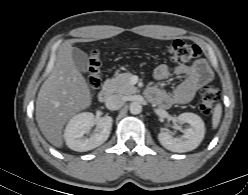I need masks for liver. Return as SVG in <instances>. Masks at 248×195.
Here are the masks:
<instances>
[{
	"label": "liver",
	"instance_id": "1",
	"mask_svg": "<svg viewBox=\"0 0 248 195\" xmlns=\"http://www.w3.org/2000/svg\"><path fill=\"white\" fill-rule=\"evenodd\" d=\"M72 41H65L55 65L42 84L36 100V121L44 137L63 146V127L76 113L91 104V92L72 57Z\"/></svg>",
	"mask_w": 248,
	"mask_h": 195
}]
</instances>
